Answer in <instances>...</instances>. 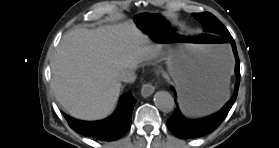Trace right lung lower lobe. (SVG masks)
<instances>
[{
	"mask_svg": "<svg viewBox=\"0 0 279 148\" xmlns=\"http://www.w3.org/2000/svg\"><path fill=\"white\" fill-rule=\"evenodd\" d=\"M131 93L124 94L116 112L101 121H81L64 114L69 126L76 132L101 141H112L122 137L131 126V115L135 105Z\"/></svg>",
	"mask_w": 279,
	"mask_h": 148,
	"instance_id": "right-lung-lower-lobe-1",
	"label": "right lung lower lobe"
}]
</instances>
